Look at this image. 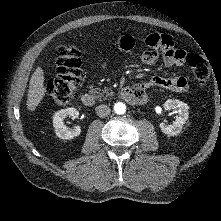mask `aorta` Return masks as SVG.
Masks as SVG:
<instances>
[{
  "instance_id": "1",
  "label": "aorta",
  "mask_w": 221,
  "mask_h": 221,
  "mask_svg": "<svg viewBox=\"0 0 221 221\" xmlns=\"http://www.w3.org/2000/svg\"><path fill=\"white\" fill-rule=\"evenodd\" d=\"M114 111L117 114H124L126 111V106L125 104L118 102L114 104Z\"/></svg>"
}]
</instances>
